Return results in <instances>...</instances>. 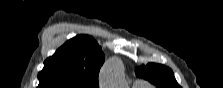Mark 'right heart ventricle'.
<instances>
[{"mask_svg": "<svg viewBox=\"0 0 223 88\" xmlns=\"http://www.w3.org/2000/svg\"><path fill=\"white\" fill-rule=\"evenodd\" d=\"M137 88H148V87H146V86H143V87H137Z\"/></svg>", "mask_w": 223, "mask_h": 88, "instance_id": "e07e8e85", "label": "right heart ventricle"}]
</instances>
